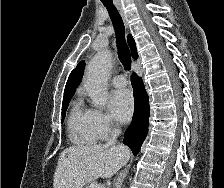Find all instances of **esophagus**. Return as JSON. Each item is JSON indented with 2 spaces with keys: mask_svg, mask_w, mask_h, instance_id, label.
Masks as SVG:
<instances>
[{
  "mask_svg": "<svg viewBox=\"0 0 224 188\" xmlns=\"http://www.w3.org/2000/svg\"><path fill=\"white\" fill-rule=\"evenodd\" d=\"M116 7H117L122 19H123V22H124L125 26L128 27V22H127V19H126V16H125V13L123 11V8H122L121 4L116 3Z\"/></svg>",
  "mask_w": 224,
  "mask_h": 188,
  "instance_id": "obj_1",
  "label": "esophagus"
}]
</instances>
